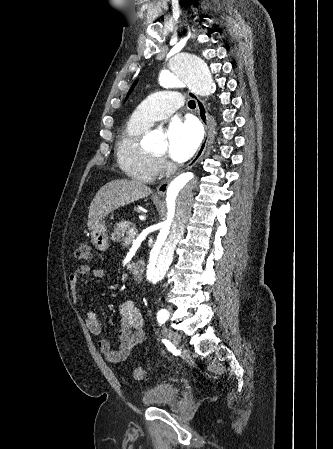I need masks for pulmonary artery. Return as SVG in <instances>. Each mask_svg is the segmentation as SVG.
<instances>
[{
	"instance_id": "1",
	"label": "pulmonary artery",
	"mask_w": 333,
	"mask_h": 449,
	"mask_svg": "<svg viewBox=\"0 0 333 449\" xmlns=\"http://www.w3.org/2000/svg\"><path fill=\"white\" fill-rule=\"evenodd\" d=\"M183 105V99L176 91H159L147 97L136 109L134 118L145 126L163 119Z\"/></svg>"
}]
</instances>
